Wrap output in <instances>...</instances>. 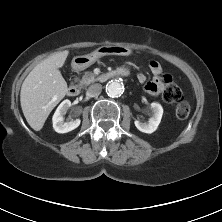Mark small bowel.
Listing matches in <instances>:
<instances>
[{
    "mask_svg": "<svg viewBox=\"0 0 222 222\" xmlns=\"http://www.w3.org/2000/svg\"><path fill=\"white\" fill-rule=\"evenodd\" d=\"M149 68L153 74V78L146 82V76L144 74L138 75V81L140 83H145V90L152 95L160 94L164 89V84L161 80L160 74L162 72V67L157 61H152L149 64Z\"/></svg>",
    "mask_w": 222,
    "mask_h": 222,
    "instance_id": "1",
    "label": "small bowel"
}]
</instances>
